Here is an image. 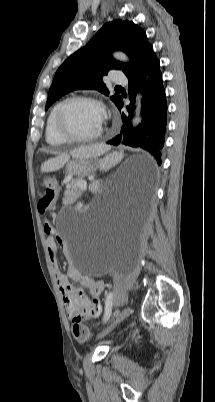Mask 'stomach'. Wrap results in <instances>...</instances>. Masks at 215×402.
Returning <instances> with one entry per match:
<instances>
[{"mask_svg": "<svg viewBox=\"0 0 215 402\" xmlns=\"http://www.w3.org/2000/svg\"><path fill=\"white\" fill-rule=\"evenodd\" d=\"M97 168L95 163L90 162L86 157L75 158L69 161L66 165V172L82 179L91 175Z\"/></svg>", "mask_w": 215, "mask_h": 402, "instance_id": "obj_1", "label": "stomach"}]
</instances>
